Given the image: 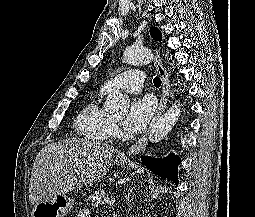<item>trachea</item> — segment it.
I'll use <instances>...</instances> for the list:
<instances>
[{
    "label": "trachea",
    "instance_id": "trachea-1",
    "mask_svg": "<svg viewBox=\"0 0 255 217\" xmlns=\"http://www.w3.org/2000/svg\"><path fill=\"white\" fill-rule=\"evenodd\" d=\"M153 84H154V86L155 87H160L161 86V79L159 78V77H155L154 79H153Z\"/></svg>",
    "mask_w": 255,
    "mask_h": 217
}]
</instances>
